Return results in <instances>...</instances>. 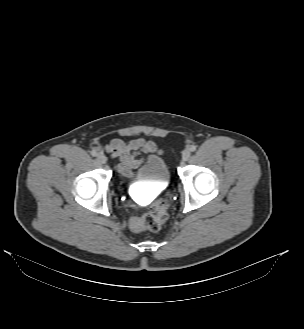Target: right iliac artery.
Returning <instances> with one entry per match:
<instances>
[{
	"mask_svg": "<svg viewBox=\"0 0 304 329\" xmlns=\"http://www.w3.org/2000/svg\"><path fill=\"white\" fill-rule=\"evenodd\" d=\"M91 155L95 157V156H97V152L95 150H92Z\"/></svg>",
	"mask_w": 304,
	"mask_h": 329,
	"instance_id": "obj_1",
	"label": "right iliac artery"
}]
</instances>
